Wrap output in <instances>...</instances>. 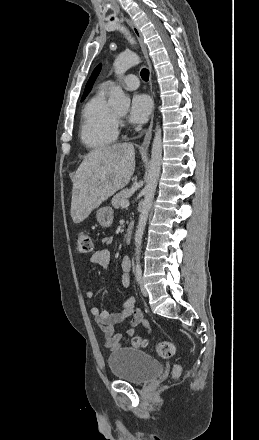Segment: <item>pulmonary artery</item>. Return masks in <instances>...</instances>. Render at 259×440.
I'll use <instances>...</instances> for the list:
<instances>
[{"mask_svg": "<svg viewBox=\"0 0 259 440\" xmlns=\"http://www.w3.org/2000/svg\"><path fill=\"white\" fill-rule=\"evenodd\" d=\"M115 84L113 80L105 81L101 84V89L107 91ZM121 84L127 90H135L139 87V79L136 75L129 74L122 79Z\"/></svg>", "mask_w": 259, "mask_h": 440, "instance_id": "pulmonary-artery-1", "label": "pulmonary artery"}]
</instances>
